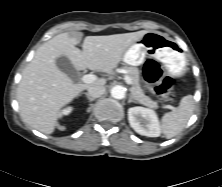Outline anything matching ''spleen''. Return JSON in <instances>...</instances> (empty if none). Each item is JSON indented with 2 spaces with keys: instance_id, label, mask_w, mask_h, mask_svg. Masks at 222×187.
Returning a JSON list of instances; mask_svg holds the SVG:
<instances>
[{
  "instance_id": "3e777b00",
  "label": "spleen",
  "mask_w": 222,
  "mask_h": 187,
  "mask_svg": "<svg viewBox=\"0 0 222 187\" xmlns=\"http://www.w3.org/2000/svg\"><path fill=\"white\" fill-rule=\"evenodd\" d=\"M194 104L192 95L184 96L177 109L163 115L162 131L165 138H173L184 129L193 113Z\"/></svg>"
}]
</instances>
